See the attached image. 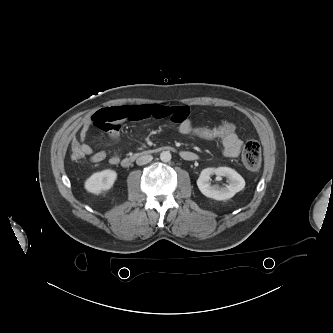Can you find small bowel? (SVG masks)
Here are the masks:
<instances>
[{
  "label": "small bowel",
  "mask_w": 333,
  "mask_h": 333,
  "mask_svg": "<svg viewBox=\"0 0 333 333\" xmlns=\"http://www.w3.org/2000/svg\"><path fill=\"white\" fill-rule=\"evenodd\" d=\"M148 118L168 119L178 126L179 129L189 130L199 128L194 126L190 117L189 109L185 106H166L161 104H137L107 107L95 112L82 126L79 141L87 157L93 163H99L108 158L110 164H118L120 158L116 151H94L86 142L91 127H98L108 133L107 146L115 145L120 138L121 123L125 120H144ZM223 154L229 158L238 157L243 142L233 130L220 139ZM185 160H194L195 154L190 151L182 152Z\"/></svg>",
  "instance_id": "1"
}]
</instances>
